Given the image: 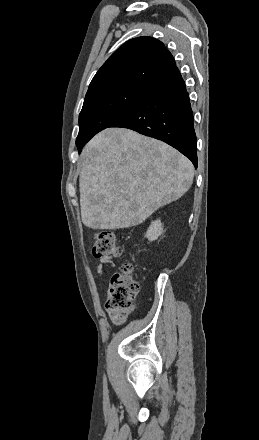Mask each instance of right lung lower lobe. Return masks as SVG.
<instances>
[{"label": "right lung lower lobe", "instance_id": "right-lung-lower-lobe-1", "mask_svg": "<svg viewBox=\"0 0 259 440\" xmlns=\"http://www.w3.org/2000/svg\"><path fill=\"white\" fill-rule=\"evenodd\" d=\"M109 127L128 128L164 141L188 157L197 168L193 113L184 80L176 66Z\"/></svg>", "mask_w": 259, "mask_h": 440}]
</instances>
